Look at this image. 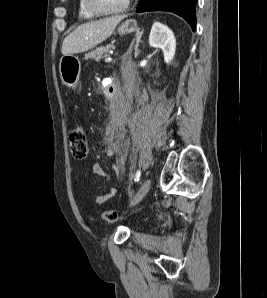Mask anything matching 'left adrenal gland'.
<instances>
[{"instance_id": "1", "label": "left adrenal gland", "mask_w": 267, "mask_h": 298, "mask_svg": "<svg viewBox=\"0 0 267 298\" xmlns=\"http://www.w3.org/2000/svg\"><path fill=\"white\" fill-rule=\"evenodd\" d=\"M142 35H143V31H139L138 30L137 33H136L135 39L132 40V42H131V44L129 46V49H128L127 53H126L127 56H129V57L131 56L134 43L136 42V44H135V58L138 57V55L140 54V50L138 49V47H139V43L141 41Z\"/></svg>"}]
</instances>
